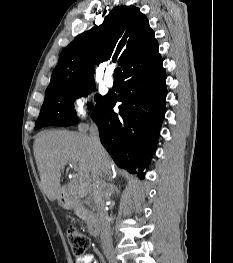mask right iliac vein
<instances>
[{
	"mask_svg": "<svg viewBox=\"0 0 233 263\" xmlns=\"http://www.w3.org/2000/svg\"><path fill=\"white\" fill-rule=\"evenodd\" d=\"M110 263H118L117 261H112V262H110Z\"/></svg>",
	"mask_w": 233,
	"mask_h": 263,
	"instance_id": "obj_1",
	"label": "right iliac vein"
}]
</instances>
